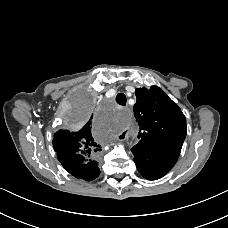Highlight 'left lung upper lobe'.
I'll use <instances>...</instances> for the list:
<instances>
[{
	"instance_id": "left-lung-upper-lobe-1",
	"label": "left lung upper lobe",
	"mask_w": 228,
	"mask_h": 228,
	"mask_svg": "<svg viewBox=\"0 0 228 228\" xmlns=\"http://www.w3.org/2000/svg\"><path fill=\"white\" fill-rule=\"evenodd\" d=\"M135 93L140 140L133 149L178 158L187 133L181 109L157 86L137 88Z\"/></svg>"
}]
</instances>
